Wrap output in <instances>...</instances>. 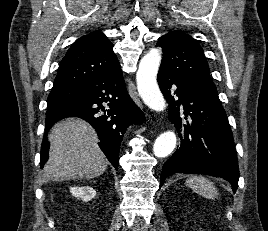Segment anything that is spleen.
<instances>
[{
  "label": "spleen",
  "mask_w": 268,
  "mask_h": 231,
  "mask_svg": "<svg viewBox=\"0 0 268 231\" xmlns=\"http://www.w3.org/2000/svg\"><path fill=\"white\" fill-rule=\"evenodd\" d=\"M186 185L208 199H215L217 196V190L214 184L203 176H191L186 180Z\"/></svg>",
  "instance_id": "spleen-1"
}]
</instances>
